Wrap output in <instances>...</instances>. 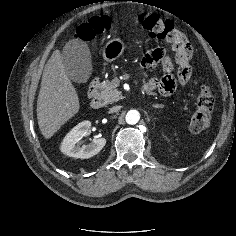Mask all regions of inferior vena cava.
Segmentation results:
<instances>
[{
  "instance_id": "inferior-vena-cava-1",
  "label": "inferior vena cava",
  "mask_w": 236,
  "mask_h": 236,
  "mask_svg": "<svg viewBox=\"0 0 236 236\" xmlns=\"http://www.w3.org/2000/svg\"><path fill=\"white\" fill-rule=\"evenodd\" d=\"M120 109H121V106H113L109 112L110 113L118 112Z\"/></svg>"
}]
</instances>
